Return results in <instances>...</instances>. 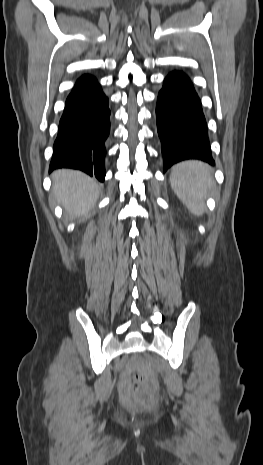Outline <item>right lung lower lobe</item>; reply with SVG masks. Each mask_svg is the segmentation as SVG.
<instances>
[{
    "label": "right lung lower lobe",
    "instance_id": "obj_1",
    "mask_svg": "<svg viewBox=\"0 0 263 465\" xmlns=\"http://www.w3.org/2000/svg\"><path fill=\"white\" fill-rule=\"evenodd\" d=\"M109 131L108 98L95 77L84 75L66 100L49 171L79 169L104 181L105 141Z\"/></svg>",
    "mask_w": 263,
    "mask_h": 465
}]
</instances>
